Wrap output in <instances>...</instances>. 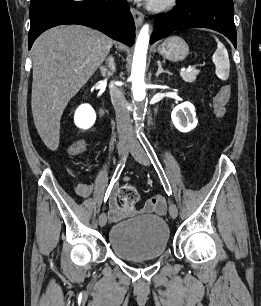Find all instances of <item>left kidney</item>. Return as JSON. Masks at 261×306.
Wrapping results in <instances>:
<instances>
[{
  "instance_id": "5707ae66",
  "label": "left kidney",
  "mask_w": 261,
  "mask_h": 306,
  "mask_svg": "<svg viewBox=\"0 0 261 306\" xmlns=\"http://www.w3.org/2000/svg\"><path fill=\"white\" fill-rule=\"evenodd\" d=\"M171 119L174 126L183 133L190 132L198 123L195 107L190 102L176 106L171 113Z\"/></svg>"
}]
</instances>
